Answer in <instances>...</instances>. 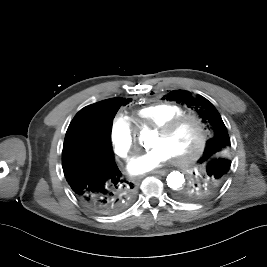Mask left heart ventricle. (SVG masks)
<instances>
[{
	"mask_svg": "<svg viewBox=\"0 0 267 267\" xmlns=\"http://www.w3.org/2000/svg\"><path fill=\"white\" fill-rule=\"evenodd\" d=\"M198 137L199 132L196 124L187 120L167 135L157 133L152 146H163L170 152L171 156H184L194 149Z\"/></svg>",
	"mask_w": 267,
	"mask_h": 267,
	"instance_id": "left-heart-ventricle-1",
	"label": "left heart ventricle"
}]
</instances>
